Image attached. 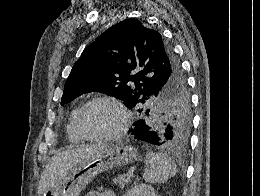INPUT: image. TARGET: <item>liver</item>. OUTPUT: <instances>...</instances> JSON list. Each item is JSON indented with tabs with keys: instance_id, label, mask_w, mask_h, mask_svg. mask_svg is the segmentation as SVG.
<instances>
[{
	"instance_id": "6515ba94",
	"label": "liver",
	"mask_w": 260,
	"mask_h": 196,
	"mask_svg": "<svg viewBox=\"0 0 260 196\" xmlns=\"http://www.w3.org/2000/svg\"><path fill=\"white\" fill-rule=\"evenodd\" d=\"M106 146H75L74 150H65V152H59L56 156H53L49 164L45 166V170L41 176L39 186L37 188L38 196L45 194L48 190H53L54 186L58 182L65 180L70 170L80 164L85 158H91L97 152L104 150Z\"/></svg>"
}]
</instances>
